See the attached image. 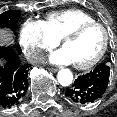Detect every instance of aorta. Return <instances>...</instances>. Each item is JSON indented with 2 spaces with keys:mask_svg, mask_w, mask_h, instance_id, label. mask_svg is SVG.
I'll list each match as a JSON object with an SVG mask.
<instances>
[{
  "mask_svg": "<svg viewBox=\"0 0 117 117\" xmlns=\"http://www.w3.org/2000/svg\"><path fill=\"white\" fill-rule=\"evenodd\" d=\"M57 79L60 85L66 87L73 81V74L69 69H61L58 72Z\"/></svg>",
  "mask_w": 117,
  "mask_h": 117,
  "instance_id": "obj_1",
  "label": "aorta"
}]
</instances>
